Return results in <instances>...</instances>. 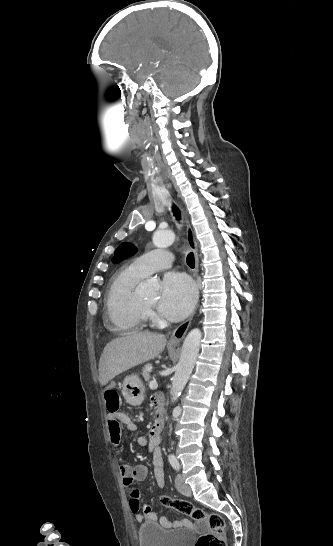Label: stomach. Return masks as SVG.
Returning a JSON list of instances; mask_svg holds the SVG:
<instances>
[{
	"instance_id": "stomach-1",
	"label": "stomach",
	"mask_w": 333,
	"mask_h": 546,
	"mask_svg": "<svg viewBox=\"0 0 333 546\" xmlns=\"http://www.w3.org/2000/svg\"><path fill=\"white\" fill-rule=\"evenodd\" d=\"M122 393L128 404L140 405L144 399V386L140 378L135 374L126 376L122 385Z\"/></svg>"
}]
</instances>
